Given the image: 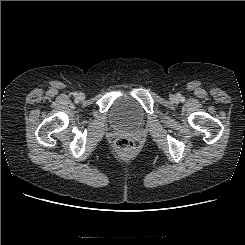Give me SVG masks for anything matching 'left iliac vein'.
<instances>
[{
	"label": "left iliac vein",
	"instance_id": "1",
	"mask_svg": "<svg viewBox=\"0 0 245 245\" xmlns=\"http://www.w3.org/2000/svg\"><path fill=\"white\" fill-rule=\"evenodd\" d=\"M171 100H173V101L176 100V97L175 96H172L171 97Z\"/></svg>",
	"mask_w": 245,
	"mask_h": 245
}]
</instances>
